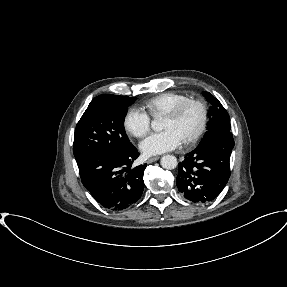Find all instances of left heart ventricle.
I'll use <instances>...</instances> for the list:
<instances>
[{
  "label": "left heart ventricle",
  "instance_id": "b2bd125f",
  "mask_svg": "<svg viewBox=\"0 0 287 287\" xmlns=\"http://www.w3.org/2000/svg\"><path fill=\"white\" fill-rule=\"evenodd\" d=\"M200 113L196 106H188L177 118L163 117L162 128H174L182 137L187 139L197 128Z\"/></svg>",
  "mask_w": 287,
  "mask_h": 287
}]
</instances>
